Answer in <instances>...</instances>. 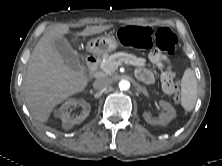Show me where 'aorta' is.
Returning <instances> with one entry per match:
<instances>
[{"instance_id": "obj_1", "label": "aorta", "mask_w": 222, "mask_h": 166, "mask_svg": "<svg viewBox=\"0 0 222 166\" xmlns=\"http://www.w3.org/2000/svg\"><path fill=\"white\" fill-rule=\"evenodd\" d=\"M129 87H130L129 81H127V80H121V81L119 82V88H120V90L125 91V90H128Z\"/></svg>"}]
</instances>
